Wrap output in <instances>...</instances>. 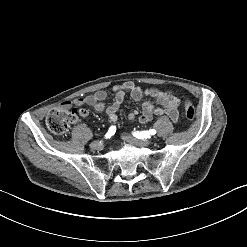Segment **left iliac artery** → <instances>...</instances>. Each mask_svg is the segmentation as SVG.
<instances>
[{
  "instance_id": "1",
  "label": "left iliac artery",
  "mask_w": 247,
  "mask_h": 247,
  "mask_svg": "<svg viewBox=\"0 0 247 247\" xmlns=\"http://www.w3.org/2000/svg\"><path fill=\"white\" fill-rule=\"evenodd\" d=\"M155 134H156L155 129H150L149 131L133 132V135L138 139H147L150 138V135H155Z\"/></svg>"
}]
</instances>
